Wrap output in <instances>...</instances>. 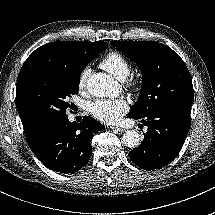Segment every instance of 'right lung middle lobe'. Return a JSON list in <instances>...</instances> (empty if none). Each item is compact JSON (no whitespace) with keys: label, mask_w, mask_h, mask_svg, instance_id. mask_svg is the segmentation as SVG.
<instances>
[{"label":"right lung middle lobe","mask_w":215,"mask_h":215,"mask_svg":"<svg viewBox=\"0 0 215 215\" xmlns=\"http://www.w3.org/2000/svg\"><path fill=\"white\" fill-rule=\"evenodd\" d=\"M101 51L82 58L75 67L62 68L50 76L28 83L16 99L17 109L24 120L37 127L46 121L67 116L66 110L71 108L67 99L78 94L82 70Z\"/></svg>","instance_id":"1"}]
</instances>
